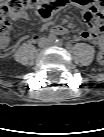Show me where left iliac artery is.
Here are the masks:
<instances>
[{
    "label": "left iliac artery",
    "instance_id": "1",
    "mask_svg": "<svg viewBox=\"0 0 104 137\" xmlns=\"http://www.w3.org/2000/svg\"><path fill=\"white\" fill-rule=\"evenodd\" d=\"M56 43H57V45H59V46H61L63 43H62V40H60V39H57L56 40Z\"/></svg>",
    "mask_w": 104,
    "mask_h": 137
}]
</instances>
